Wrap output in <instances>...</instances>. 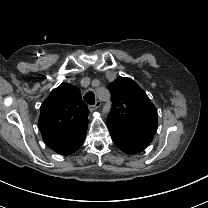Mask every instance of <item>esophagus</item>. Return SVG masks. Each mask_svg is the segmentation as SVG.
Here are the masks:
<instances>
[{"mask_svg":"<svg viewBox=\"0 0 208 208\" xmlns=\"http://www.w3.org/2000/svg\"><path fill=\"white\" fill-rule=\"evenodd\" d=\"M100 105H101V101L98 100V101H96V103L94 105H88V109H89V111L92 112V111L98 109L100 107Z\"/></svg>","mask_w":208,"mask_h":208,"instance_id":"obj_1","label":"esophagus"}]
</instances>
